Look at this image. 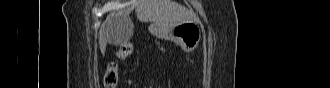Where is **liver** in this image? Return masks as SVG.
Instances as JSON below:
<instances>
[{"label": "liver", "instance_id": "obj_1", "mask_svg": "<svg viewBox=\"0 0 330 88\" xmlns=\"http://www.w3.org/2000/svg\"><path fill=\"white\" fill-rule=\"evenodd\" d=\"M133 9L140 21L152 22L151 27L153 25H173L197 19L193 12L173 0H135L131 8L123 12L111 13L102 23L99 31V44L103 53L107 43H117L114 25L120 22L119 19L123 17L124 21L132 23L129 14Z\"/></svg>", "mask_w": 330, "mask_h": 88}]
</instances>
